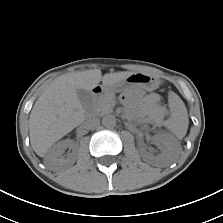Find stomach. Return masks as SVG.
<instances>
[{"label":"stomach","instance_id":"stomach-1","mask_svg":"<svg viewBox=\"0 0 223 223\" xmlns=\"http://www.w3.org/2000/svg\"><path fill=\"white\" fill-rule=\"evenodd\" d=\"M160 85V80L147 73H133L125 80L112 85L102 84L100 86L102 93H125L133 88H142L146 91H153Z\"/></svg>","mask_w":223,"mask_h":223}]
</instances>
